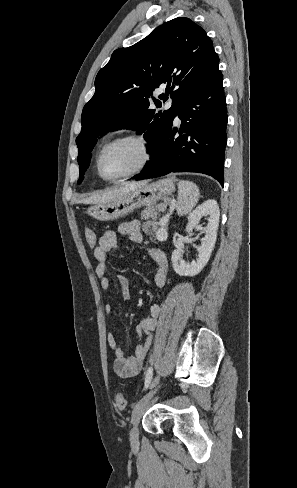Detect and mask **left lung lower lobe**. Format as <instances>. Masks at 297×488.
Here are the masks:
<instances>
[{"instance_id":"obj_1","label":"left lung lower lobe","mask_w":297,"mask_h":488,"mask_svg":"<svg viewBox=\"0 0 297 488\" xmlns=\"http://www.w3.org/2000/svg\"><path fill=\"white\" fill-rule=\"evenodd\" d=\"M222 73L189 99L178 112L179 131L170 127L161 146L136 180L170 172H197L215 178L223 186L224 151L227 143L226 98ZM178 137H175L176 133Z\"/></svg>"}]
</instances>
